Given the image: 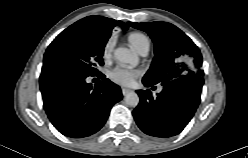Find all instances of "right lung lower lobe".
I'll return each mask as SVG.
<instances>
[{"label": "right lung lower lobe", "instance_id": "98d812e1", "mask_svg": "<svg viewBox=\"0 0 248 158\" xmlns=\"http://www.w3.org/2000/svg\"><path fill=\"white\" fill-rule=\"evenodd\" d=\"M86 77L70 73H45L40 89L45 111L65 136L82 138L97 132L111 107L122 99L120 87L108 79L92 87Z\"/></svg>", "mask_w": 248, "mask_h": 158}]
</instances>
